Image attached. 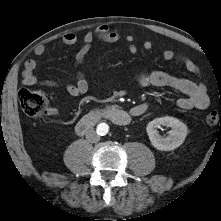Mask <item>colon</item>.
Returning <instances> with one entry per match:
<instances>
[{
  "label": "colon",
  "mask_w": 221,
  "mask_h": 221,
  "mask_svg": "<svg viewBox=\"0 0 221 221\" xmlns=\"http://www.w3.org/2000/svg\"><path fill=\"white\" fill-rule=\"evenodd\" d=\"M19 104L22 111L30 117L41 118L50 111V102L42 92L21 89L18 95ZM206 122L210 126L221 124V115L212 111L206 115Z\"/></svg>",
  "instance_id": "5ec220e1"
}]
</instances>
